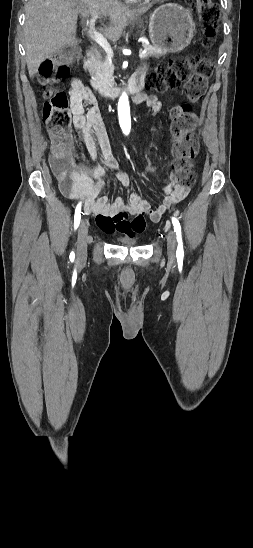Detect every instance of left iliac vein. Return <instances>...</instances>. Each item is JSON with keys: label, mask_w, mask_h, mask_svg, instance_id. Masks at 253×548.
<instances>
[{"label": "left iliac vein", "mask_w": 253, "mask_h": 548, "mask_svg": "<svg viewBox=\"0 0 253 548\" xmlns=\"http://www.w3.org/2000/svg\"><path fill=\"white\" fill-rule=\"evenodd\" d=\"M167 253L170 259L175 258L176 253V236L174 231L170 230L167 234Z\"/></svg>", "instance_id": "obj_1"}]
</instances>
